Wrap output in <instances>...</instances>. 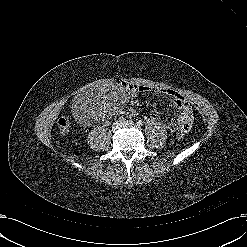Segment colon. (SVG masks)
<instances>
[{"label": "colon", "mask_w": 247, "mask_h": 247, "mask_svg": "<svg viewBox=\"0 0 247 247\" xmlns=\"http://www.w3.org/2000/svg\"><path fill=\"white\" fill-rule=\"evenodd\" d=\"M57 129L59 131V133L61 134H67L70 130V120L68 117L62 116L57 120ZM187 129L186 128H177L175 130V136L177 139H181L183 138V136L185 135Z\"/></svg>", "instance_id": "obj_1"}]
</instances>
